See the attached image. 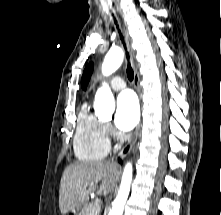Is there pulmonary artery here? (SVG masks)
I'll return each mask as SVG.
<instances>
[{
	"mask_svg": "<svg viewBox=\"0 0 221 215\" xmlns=\"http://www.w3.org/2000/svg\"><path fill=\"white\" fill-rule=\"evenodd\" d=\"M110 86L113 90L119 91L126 87V83L121 77L117 76L110 81Z\"/></svg>",
	"mask_w": 221,
	"mask_h": 215,
	"instance_id": "1",
	"label": "pulmonary artery"
}]
</instances>
